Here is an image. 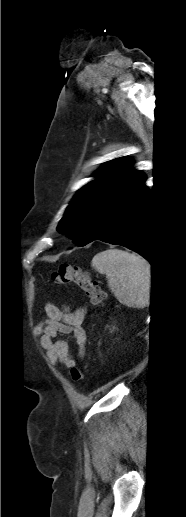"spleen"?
Wrapping results in <instances>:
<instances>
[{
    "mask_svg": "<svg viewBox=\"0 0 186 517\" xmlns=\"http://www.w3.org/2000/svg\"><path fill=\"white\" fill-rule=\"evenodd\" d=\"M92 267L108 277V287L120 303L144 308L150 303L151 266L142 257L119 249L96 254Z\"/></svg>",
    "mask_w": 186,
    "mask_h": 517,
    "instance_id": "3e777b00",
    "label": "spleen"
}]
</instances>
